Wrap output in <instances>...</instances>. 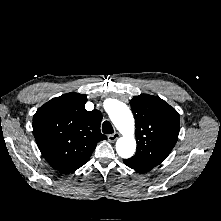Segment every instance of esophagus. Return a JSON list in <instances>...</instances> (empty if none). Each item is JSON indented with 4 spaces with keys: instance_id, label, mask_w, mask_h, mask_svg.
I'll use <instances>...</instances> for the list:
<instances>
[{
    "instance_id": "1",
    "label": "esophagus",
    "mask_w": 221,
    "mask_h": 221,
    "mask_svg": "<svg viewBox=\"0 0 221 221\" xmlns=\"http://www.w3.org/2000/svg\"><path fill=\"white\" fill-rule=\"evenodd\" d=\"M119 136H120L119 133L115 132L114 134L108 135L107 138L109 142L113 143L119 138Z\"/></svg>"
}]
</instances>
